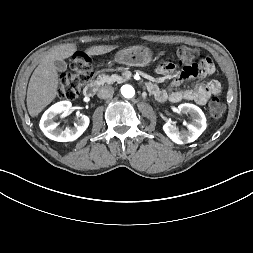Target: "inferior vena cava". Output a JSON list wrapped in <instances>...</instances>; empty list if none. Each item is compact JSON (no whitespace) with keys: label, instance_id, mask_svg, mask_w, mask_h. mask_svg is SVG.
I'll list each match as a JSON object with an SVG mask.
<instances>
[{"label":"inferior vena cava","instance_id":"602c4592","mask_svg":"<svg viewBox=\"0 0 253 253\" xmlns=\"http://www.w3.org/2000/svg\"><path fill=\"white\" fill-rule=\"evenodd\" d=\"M114 94V88L112 86H103L98 92V97L101 99H106L112 97Z\"/></svg>","mask_w":253,"mask_h":253}]
</instances>
